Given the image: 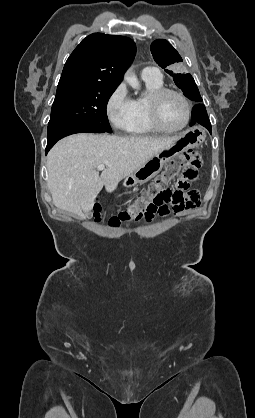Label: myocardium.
<instances>
[{"label":"myocardium","mask_w":255,"mask_h":418,"mask_svg":"<svg viewBox=\"0 0 255 418\" xmlns=\"http://www.w3.org/2000/svg\"><path fill=\"white\" fill-rule=\"evenodd\" d=\"M169 94H174L178 96L184 102L186 107V118L183 124L177 128H168L162 123L161 120V103L162 100ZM148 112L150 122L157 131L163 133H177L184 130L188 126L192 116V105L189 99L186 97V95L183 94L181 91L173 88L163 87L149 95Z\"/></svg>","instance_id":"obj_1"}]
</instances>
